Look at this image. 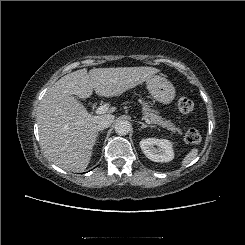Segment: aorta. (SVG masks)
<instances>
[{
	"instance_id": "762f6f07",
	"label": "aorta",
	"mask_w": 245,
	"mask_h": 245,
	"mask_svg": "<svg viewBox=\"0 0 245 245\" xmlns=\"http://www.w3.org/2000/svg\"><path fill=\"white\" fill-rule=\"evenodd\" d=\"M131 130V123L128 120H119L115 124V132L118 135H126Z\"/></svg>"
}]
</instances>
